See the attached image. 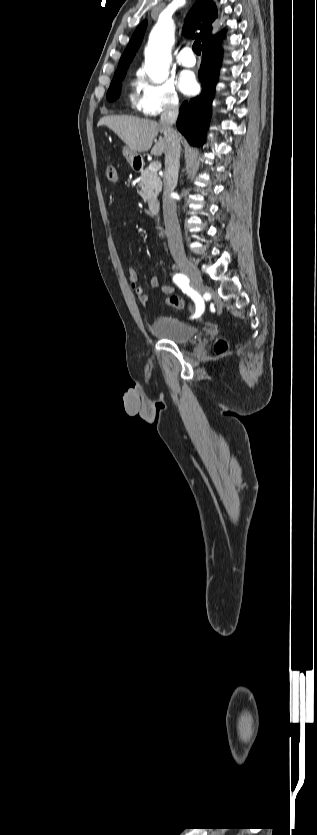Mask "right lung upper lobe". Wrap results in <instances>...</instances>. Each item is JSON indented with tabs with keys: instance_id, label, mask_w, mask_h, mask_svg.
Returning <instances> with one entry per match:
<instances>
[{
	"instance_id": "cb5924a9",
	"label": "right lung upper lobe",
	"mask_w": 317,
	"mask_h": 835,
	"mask_svg": "<svg viewBox=\"0 0 317 835\" xmlns=\"http://www.w3.org/2000/svg\"><path fill=\"white\" fill-rule=\"evenodd\" d=\"M217 20L218 10L215 3L212 0H198L187 15L183 33L187 37L200 38L204 44L216 37H219L220 34H213V29ZM146 26L147 21L145 20L135 30L119 61L118 69L129 67V64L142 42Z\"/></svg>"
}]
</instances>
